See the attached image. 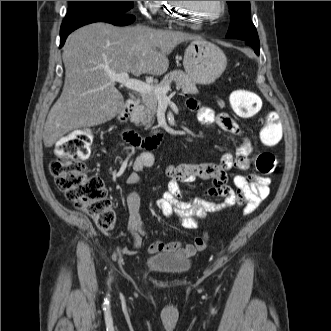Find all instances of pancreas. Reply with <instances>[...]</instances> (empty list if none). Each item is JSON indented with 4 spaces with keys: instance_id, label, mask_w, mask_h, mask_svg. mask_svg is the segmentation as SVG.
I'll list each match as a JSON object with an SVG mask.
<instances>
[{
    "instance_id": "1",
    "label": "pancreas",
    "mask_w": 331,
    "mask_h": 331,
    "mask_svg": "<svg viewBox=\"0 0 331 331\" xmlns=\"http://www.w3.org/2000/svg\"><path fill=\"white\" fill-rule=\"evenodd\" d=\"M172 82L176 83L178 89H182L187 94H197L198 89L196 83L181 70H175L167 74L163 80L154 87H165ZM142 102L140 105L134 108L131 114V122L136 125L141 124L146 128H150L154 122V117L157 112L158 98L156 94L152 92L143 93L141 95ZM157 126L152 129H156Z\"/></svg>"
}]
</instances>
